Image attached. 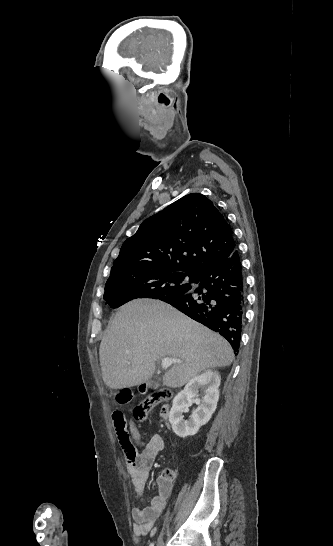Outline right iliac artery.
I'll use <instances>...</instances> for the list:
<instances>
[{"label": "right iliac artery", "mask_w": 333, "mask_h": 546, "mask_svg": "<svg viewBox=\"0 0 333 546\" xmlns=\"http://www.w3.org/2000/svg\"><path fill=\"white\" fill-rule=\"evenodd\" d=\"M150 546H154V544L152 543Z\"/></svg>", "instance_id": "obj_1"}]
</instances>
